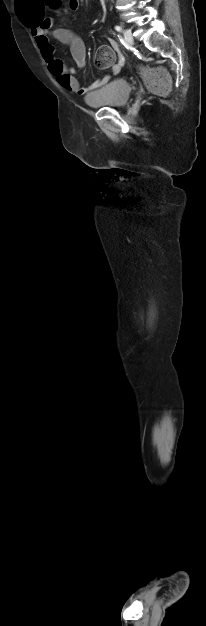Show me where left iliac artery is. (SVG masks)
<instances>
[{"mask_svg": "<svg viewBox=\"0 0 206 626\" xmlns=\"http://www.w3.org/2000/svg\"><path fill=\"white\" fill-rule=\"evenodd\" d=\"M115 29H116L117 31H119V32H120V31H122L121 26H115Z\"/></svg>", "mask_w": 206, "mask_h": 626, "instance_id": "left-iliac-artery-1", "label": "left iliac artery"}]
</instances>
